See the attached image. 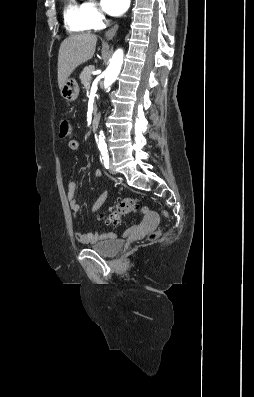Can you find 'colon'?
Returning a JSON list of instances; mask_svg holds the SVG:
<instances>
[{"label":"colon","mask_w":254,"mask_h":397,"mask_svg":"<svg viewBox=\"0 0 254 397\" xmlns=\"http://www.w3.org/2000/svg\"><path fill=\"white\" fill-rule=\"evenodd\" d=\"M71 132V125L69 123L68 120L66 119H62L60 122V126H59V135L61 138H65L67 136H69ZM139 208V201L136 198H123L118 206L114 209L111 210L110 212H108L105 215V220L106 222L110 223V224H116L120 221V219L129 214L132 213L134 211H136ZM158 236L157 232H154L152 234H150L149 238L151 240L155 239Z\"/></svg>","instance_id":"5ec220e1"}]
</instances>
